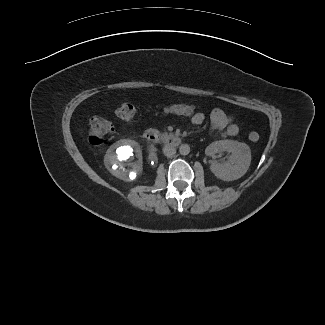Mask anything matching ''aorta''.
<instances>
[{
  "label": "aorta",
  "instance_id": "obj_1",
  "mask_svg": "<svg viewBox=\"0 0 325 325\" xmlns=\"http://www.w3.org/2000/svg\"><path fill=\"white\" fill-rule=\"evenodd\" d=\"M190 152V146L188 144H183L179 148V153L181 155H188Z\"/></svg>",
  "mask_w": 325,
  "mask_h": 325
}]
</instances>
